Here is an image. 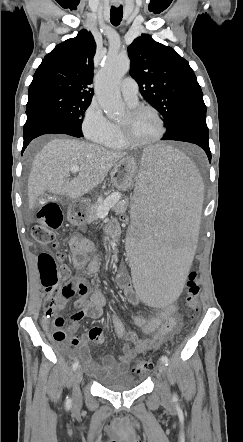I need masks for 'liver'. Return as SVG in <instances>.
Returning a JSON list of instances; mask_svg holds the SVG:
<instances>
[{
  "label": "liver",
  "instance_id": "obj_1",
  "mask_svg": "<svg viewBox=\"0 0 243 442\" xmlns=\"http://www.w3.org/2000/svg\"><path fill=\"white\" fill-rule=\"evenodd\" d=\"M126 156L81 140L55 138L36 154L28 179L29 208L45 191L78 199L103 182L110 169ZM73 166L79 175L69 181Z\"/></svg>",
  "mask_w": 243,
  "mask_h": 442
}]
</instances>
